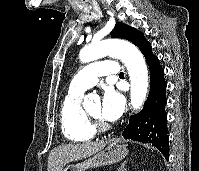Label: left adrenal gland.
<instances>
[{
	"mask_svg": "<svg viewBox=\"0 0 199 171\" xmlns=\"http://www.w3.org/2000/svg\"><path fill=\"white\" fill-rule=\"evenodd\" d=\"M126 163H127V160L124 161V162L121 164V166L119 167L118 171H126V168H125Z\"/></svg>",
	"mask_w": 199,
	"mask_h": 171,
	"instance_id": "1",
	"label": "left adrenal gland"
}]
</instances>
